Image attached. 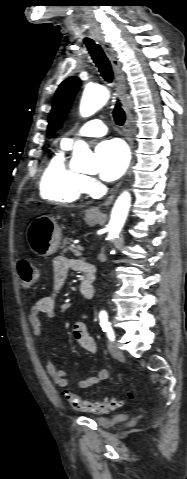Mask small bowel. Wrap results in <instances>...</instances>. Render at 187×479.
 Instances as JSON below:
<instances>
[{"label": "small bowel", "instance_id": "1", "mask_svg": "<svg viewBox=\"0 0 187 479\" xmlns=\"http://www.w3.org/2000/svg\"><path fill=\"white\" fill-rule=\"evenodd\" d=\"M70 270L86 272L87 270H93V268L80 260L69 259L63 256L54 258L53 290L50 294L39 298L30 309L29 324L31 327V337L34 341H38L42 335L41 317L54 318L56 316L55 307L57 294L64 287ZM85 320L86 315L82 314L80 318L74 322L72 327L73 336L87 353L94 354L96 352V343L88 333ZM46 368L56 387L67 388L70 386L67 372L57 368L50 358H48ZM108 378L109 371L100 369L94 376L80 380L76 386L79 389H87Z\"/></svg>", "mask_w": 187, "mask_h": 479}]
</instances>
